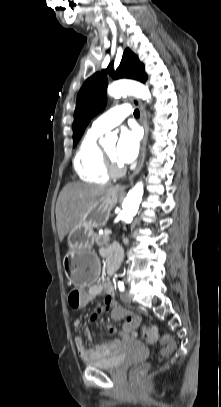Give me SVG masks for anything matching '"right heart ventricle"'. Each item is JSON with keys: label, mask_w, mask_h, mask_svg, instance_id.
<instances>
[{"label": "right heart ventricle", "mask_w": 221, "mask_h": 407, "mask_svg": "<svg viewBox=\"0 0 221 407\" xmlns=\"http://www.w3.org/2000/svg\"><path fill=\"white\" fill-rule=\"evenodd\" d=\"M101 134L89 130L82 140L74 158V168L85 182L103 184L109 179L103 153L97 140Z\"/></svg>", "instance_id": "right-heart-ventricle-1"}]
</instances>
